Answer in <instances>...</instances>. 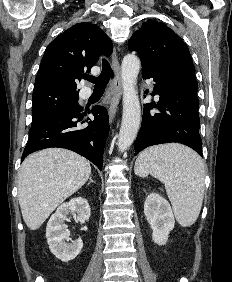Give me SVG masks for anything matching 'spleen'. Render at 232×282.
Returning <instances> with one entry per match:
<instances>
[{
  "instance_id": "obj_1",
  "label": "spleen",
  "mask_w": 232,
  "mask_h": 282,
  "mask_svg": "<svg viewBox=\"0 0 232 282\" xmlns=\"http://www.w3.org/2000/svg\"><path fill=\"white\" fill-rule=\"evenodd\" d=\"M135 174H149L165 184L178 223L189 227L199 216L203 197L205 170L202 159L179 144L150 147L136 160Z\"/></svg>"
}]
</instances>
